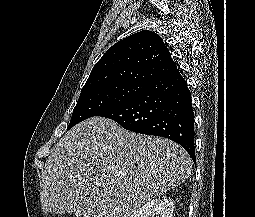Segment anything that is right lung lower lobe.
<instances>
[{"label": "right lung lower lobe", "mask_w": 255, "mask_h": 217, "mask_svg": "<svg viewBox=\"0 0 255 217\" xmlns=\"http://www.w3.org/2000/svg\"><path fill=\"white\" fill-rule=\"evenodd\" d=\"M98 116L133 132L171 139L195 162L191 93L179 70L159 77L131 101Z\"/></svg>", "instance_id": "right-lung-lower-lobe-1"}]
</instances>
